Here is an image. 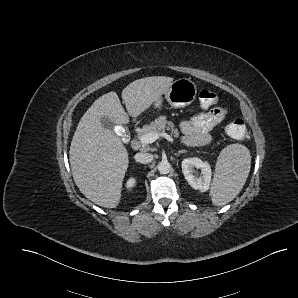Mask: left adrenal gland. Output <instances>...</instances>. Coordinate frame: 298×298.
Wrapping results in <instances>:
<instances>
[{
  "label": "left adrenal gland",
  "mask_w": 298,
  "mask_h": 298,
  "mask_svg": "<svg viewBox=\"0 0 298 298\" xmlns=\"http://www.w3.org/2000/svg\"><path fill=\"white\" fill-rule=\"evenodd\" d=\"M179 152H186V150L185 149H180Z\"/></svg>",
  "instance_id": "a2214340"
}]
</instances>
